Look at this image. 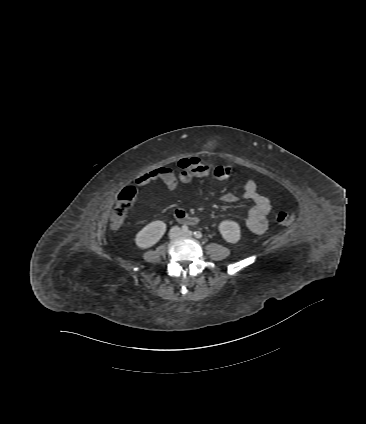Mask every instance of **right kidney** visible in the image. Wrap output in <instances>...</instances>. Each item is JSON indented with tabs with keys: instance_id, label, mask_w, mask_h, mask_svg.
<instances>
[{
	"instance_id": "1",
	"label": "right kidney",
	"mask_w": 366,
	"mask_h": 424,
	"mask_svg": "<svg viewBox=\"0 0 366 424\" xmlns=\"http://www.w3.org/2000/svg\"><path fill=\"white\" fill-rule=\"evenodd\" d=\"M166 224L163 221H154L146 225L136 234L135 243L141 249L152 247L164 235Z\"/></svg>"
}]
</instances>
